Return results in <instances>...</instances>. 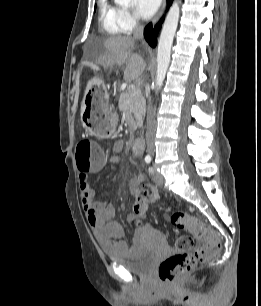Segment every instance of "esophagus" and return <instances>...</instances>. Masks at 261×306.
Masks as SVG:
<instances>
[{"mask_svg": "<svg viewBox=\"0 0 261 306\" xmlns=\"http://www.w3.org/2000/svg\"><path fill=\"white\" fill-rule=\"evenodd\" d=\"M165 8H166V1L164 0L163 1V4L159 10V12L157 13V15L155 16V18L153 19L152 21V24L153 26L159 21V19L162 17L164 11H165Z\"/></svg>", "mask_w": 261, "mask_h": 306, "instance_id": "34e87169", "label": "esophagus"}]
</instances>
